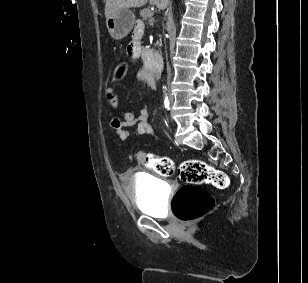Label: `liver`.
<instances>
[{
  "label": "liver",
  "mask_w": 308,
  "mask_h": 283,
  "mask_svg": "<svg viewBox=\"0 0 308 283\" xmlns=\"http://www.w3.org/2000/svg\"><path fill=\"white\" fill-rule=\"evenodd\" d=\"M147 2L148 0H106L105 16L108 18L118 9L141 7ZM149 2L155 4L160 9H164L167 4V0H149Z\"/></svg>",
  "instance_id": "1"
}]
</instances>
